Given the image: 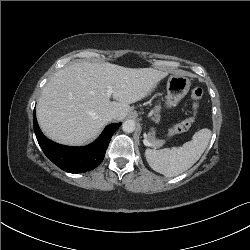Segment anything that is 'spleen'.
Wrapping results in <instances>:
<instances>
[{
    "label": "spleen",
    "mask_w": 250,
    "mask_h": 250,
    "mask_svg": "<svg viewBox=\"0 0 250 250\" xmlns=\"http://www.w3.org/2000/svg\"><path fill=\"white\" fill-rule=\"evenodd\" d=\"M212 132L203 128L196 132L191 141L182 147L165 148L161 150L147 149L145 157L149 166L166 177H174L192 167L208 146Z\"/></svg>",
    "instance_id": "obj_1"
}]
</instances>
